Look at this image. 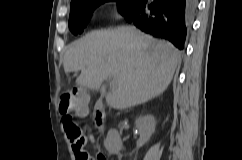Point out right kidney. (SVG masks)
<instances>
[{"label":"right kidney","instance_id":"1","mask_svg":"<svg viewBox=\"0 0 242 160\" xmlns=\"http://www.w3.org/2000/svg\"><path fill=\"white\" fill-rule=\"evenodd\" d=\"M136 127L139 130L137 147H142L155 132L156 120L152 115H143L136 119ZM104 146L109 154H120L123 148L121 137L117 130L110 129L104 142Z\"/></svg>","mask_w":242,"mask_h":160}]
</instances>
